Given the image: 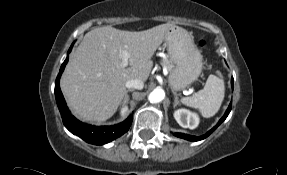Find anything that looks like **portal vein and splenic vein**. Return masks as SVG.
Segmentation results:
<instances>
[{
    "instance_id": "18ae733b",
    "label": "portal vein and splenic vein",
    "mask_w": 287,
    "mask_h": 175,
    "mask_svg": "<svg viewBox=\"0 0 287 175\" xmlns=\"http://www.w3.org/2000/svg\"><path fill=\"white\" fill-rule=\"evenodd\" d=\"M121 56H122V66L126 67L128 65V59H129L130 55L128 52L123 51L121 53Z\"/></svg>"
}]
</instances>
